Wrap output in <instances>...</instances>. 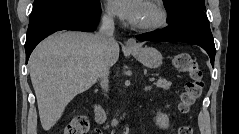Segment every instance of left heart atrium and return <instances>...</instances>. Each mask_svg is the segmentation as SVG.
Instances as JSON below:
<instances>
[{
	"instance_id": "left-heart-atrium-1",
	"label": "left heart atrium",
	"mask_w": 239,
	"mask_h": 134,
	"mask_svg": "<svg viewBox=\"0 0 239 134\" xmlns=\"http://www.w3.org/2000/svg\"><path fill=\"white\" fill-rule=\"evenodd\" d=\"M111 3L123 20L132 25L138 24L144 7L141 0H114Z\"/></svg>"
}]
</instances>
